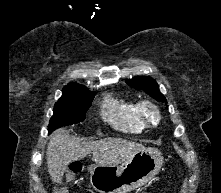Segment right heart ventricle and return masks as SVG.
<instances>
[{
    "label": "right heart ventricle",
    "mask_w": 221,
    "mask_h": 193,
    "mask_svg": "<svg viewBox=\"0 0 221 193\" xmlns=\"http://www.w3.org/2000/svg\"><path fill=\"white\" fill-rule=\"evenodd\" d=\"M103 115L116 129L125 133H139L143 129L137 105L125 98L109 95L103 101Z\"/></svg>",
    "instance_id": "right-heart-ventricle-1"
}]
</instances>
